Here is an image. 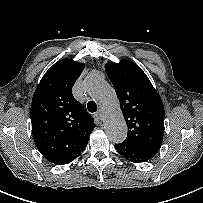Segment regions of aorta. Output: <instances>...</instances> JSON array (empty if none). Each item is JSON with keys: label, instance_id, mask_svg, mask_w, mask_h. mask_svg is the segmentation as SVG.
Wrapping results in <instances>:
<instances>
[{"label": "aorta", "instance_id": "aorta-1", "mask_svg": "<svg viewBox=\"0 0 203 203\" xmlns=\"http://www.w3.org/2000/svg\"><path fill=\"white\" fill-rule=\"evenodd\" d=\"M85 89L102 109L108 139L122 143L127 136V124L113 87L101 77L91 75L85 80Z\"/></svg>", "mask_w": 203, "mask_h": 203}]
</instances>
